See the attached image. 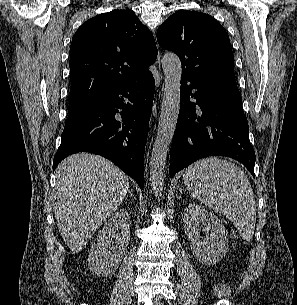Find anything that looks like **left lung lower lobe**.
Listing matches in <instances>:
<instances>
[{
    "mask_svg": "<svg viewBox=\"0 0 297 305\" xmlns=\"http://www.w3.org/2000/svg\"><path fill=\"white\" fill-rule=\"evenodd\" d=\"M180 95L170 176L198 159L227 156L244 164L255 177V152L235 79L197 81L182 74Z\"/></svg>",
    "mask_w": 297,
    "mask_h": 305,
    "instance_id": "0a47b994",
    "label": "left lung lower lobe"
}]
</instances>
